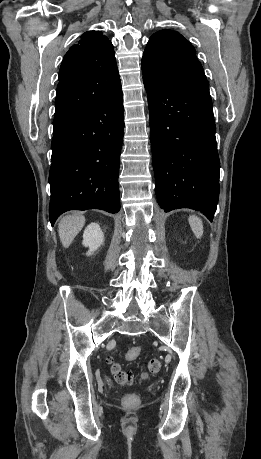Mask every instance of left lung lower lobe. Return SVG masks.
<instances>
[{"label":"left lung lower lobe","instance_id":"left-lung-lower-lobe-1","mask_svg":"<svg viewBox=\"0 0 261 459\" xmlns=\"http://www.w3.org/2000/svg\"><path fill=\"white\" fill-rule=\"evenodd\" d=\"M142 72L158 204L165 212L198 210L212 221L220 162L209 87L177 85Z\"/></svg>","mask_w":261,"mask_h":459}]
</instances>
